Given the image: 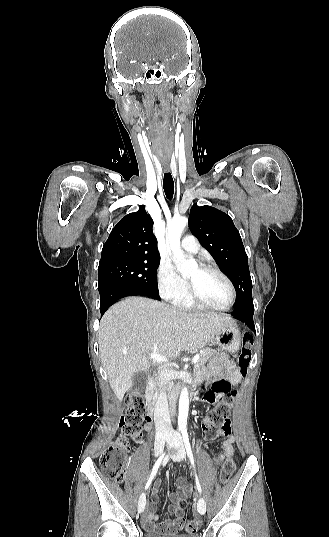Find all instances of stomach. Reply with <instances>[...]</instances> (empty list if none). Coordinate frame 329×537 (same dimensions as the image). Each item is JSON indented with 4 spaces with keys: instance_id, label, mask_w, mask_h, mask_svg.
I'll return each mask as SVG.
<instances>
[{
    "instance_id": "stomach-1",
    "label": "stomach",
    "mask_w": 329,
    "mask_h": 537,
    "mask_svg": "<svg viewBox=\"0 0 329 537\" xmlns=\"http://www.w3.org/2000/svg\"><path fill=\"white\" fill-rule=\"evenodd\" d=\"M220 348L235 353L240 347V331L235 323L222 329L213 339Z\"/></svg>"
}]
</instances>
